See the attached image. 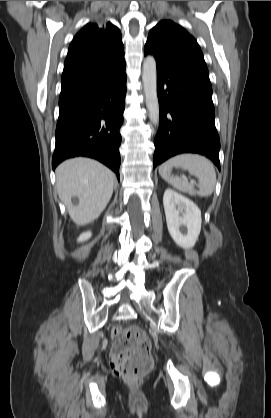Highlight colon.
<instances>
[{
    "mask_svg": "<svg viewBox=\"0 0 271 418\" xmlns=\"http://www.w3.org/2000/svg\"><path fill=\"white\" fill-rule=\"evenodd\" d=\"M114 345L110 354L113 373L126 380L144 376L153 366L151 343L147 334L138 327L114 328Z\"/></svg>",
    "mask_w": 271,
    "mask_h": 418,
    "instance_id": "obj_1",
    "label": "colon"
}]
</instances>
